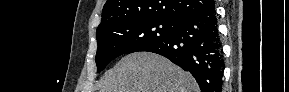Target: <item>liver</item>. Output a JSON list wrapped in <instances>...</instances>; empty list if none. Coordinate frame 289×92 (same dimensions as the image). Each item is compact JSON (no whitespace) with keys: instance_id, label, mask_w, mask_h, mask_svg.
<instances>
[{"instance_id":"obj_1","label":"liver","mask_w":289,"mask_h":92,"mask_svg":"<svg viewBox=\"0 0 289 92\" xmlns=\"http://www.w3.org/2000/svg\"><path fill=\"white\" fill-rule=\"evenodd\" d=\"M193 76L160 55L124 56L101 81L100 92H199Z\"/></svg>"}]
</instances>
